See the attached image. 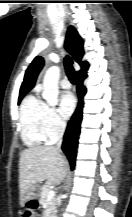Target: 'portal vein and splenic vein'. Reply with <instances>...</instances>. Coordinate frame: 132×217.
Masks as SVG:
<instances>
[{
  "mask_svg": "<svg viewBox=\"0 0 132 217\" xmlns=\"http://www.w3.org/2000/svg\"><path fill=\"white\" fill-rule=\"evenodd\" d=\"M55 195L54 190H50L48 193V198H52Z\"/></svg>",
  "mask_w": 132,
  "mask_h": 217,
  "instance_id": "18ae733b",
  "label": "portal vein and splenic vein"
}]
</instances>
